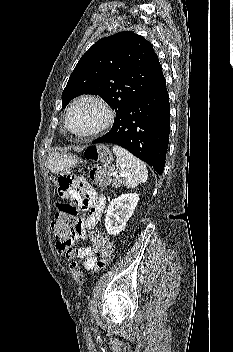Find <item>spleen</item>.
Returning a JSON list of instances; mask_svg holds the SVG:
<instances>
[{
  "label": "spleen",
  "mask_w": 233,
  "mask_h": 352,
  "mask_svg": "<svg viewBox=\"0 0 233 352\" xmlns=\"http://www.w3.org/2000/svg\"><path fill=\"white\" fill-rule=\"evenodd\" d=\"M113 152L117 157L116 168L124 173V184L129 188L136 187L140 182L148 179L145 164L124 148L114 145Z\"/></svg>",
  "instance_id": "1"
}]
</instances>
